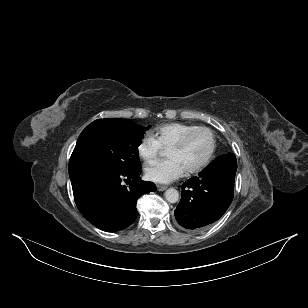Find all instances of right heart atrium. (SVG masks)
<instances>
[{
  "mask_svg": "<svg viewBox=\"0 0 308 308\" xmlns=\"http://www.w3.org/2000/svg\"><path fill=\"white\" fill-rule=\"evenodd\" d=\"M160 151L161 147L151 135H144L137 144V154L146 165L154 163Z\"/></svg>",
  "mask_w": 308,
  "mask_h": 308,
  "instance_id": "d8ad5b80",
  "label": "right heart atrium"
}]
</instances>
